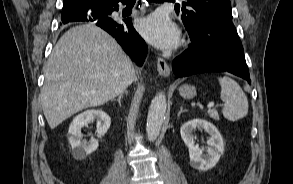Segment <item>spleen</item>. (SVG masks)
<instances>
[{"mask_svg":"<svg viewBox=\"0 0 293 184\" xmlns=\"http://www.w3.org/2000/svg\"><path fill=\"white\" fill-rule=\"evenodd\" d=\"M221 100L225 103L222 114L229 121H237L248 113V99L240 85L228 76L218 78Z\"/></svg>","mask_w":293,"mask_h":184,"instance_id":"spleen-1","label":"spleen"}]
</instances>
